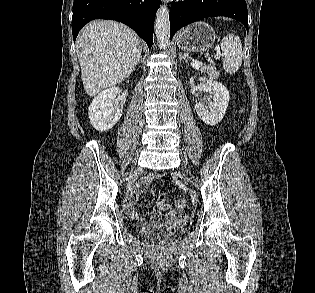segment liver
Segmentation results:
<instances>
[{
	"label": "liver",
	"instance_id": "liver-1",
	"mask_svg": "<svg viewBox=\"0 0 315 293\" xmlns=\"http://www.w3.org/2000/svg\"><path fill=\"white\" fill-rule=\"evenodd\" d=\"M78 59L85 92L95 96L124 81L141 57L137 34L115 21H92L77 38Z\"/></svg>",
	"mask_w": 315,
	"mask_h": 293
}]
</instances>
